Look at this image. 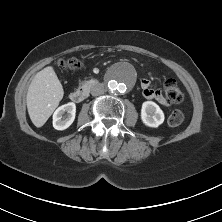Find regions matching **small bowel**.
<instances>
[{"instance_id": "1", "label": "small bowel", "mask_w": 222, "mask_h": 222, "mask_svg": "<svg viewBox=\"0 0 222 222\" xmlns=\"http://www.w3.org/2000/svg\"><path fill=\"white\" fill-rule=\"evenodd\" d=\"M140 85H141V88H142V91H143V95L145 96L146 99L156 100L164 106L168 105L166 100L164 99V97L160 93V91L154 89L151 86V82L148 79H146V78L141 79Z\"/></svg>"}]
</instances>
